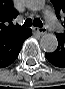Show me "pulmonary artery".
<instances>
[{"label":"pulmonary artery","instance_id":"pulmonary-artery-1","mask_svg":"<svg viewBox=\"0 0 65 89\" xmlns=\"http://www.w3.org/2000/svg\"><path fill=\"white\" fill-rule=\"evenodd\" d=\"M46 19H47L48 26L52 30L57 31L59 29V22L50 11H46Z\"/></svg>","mask_w":65,"mask_h":89}]
</instances>
